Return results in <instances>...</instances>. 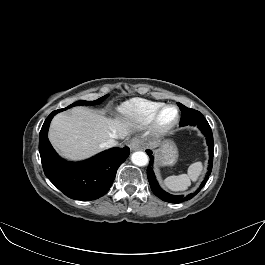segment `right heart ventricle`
Segmentation results:
<instances>
[{
  "label": "right heart ventricle",
  "instance_id": "right-heart-ventricle-1",
  "mask_svg": "<svg viewBox=\"0 0 265 265\" xmlns=\"http://www.w3.org/2000/svg\"><path fill=\"white\" fill-rule=\"evenodd\" d=\"M163 103L145 99H134L126 103L121 113L132 124L142 127L150 124Z\"/></svg>",
  "mask_w": 265,
  "mask_h": 265
}]
</instances>
